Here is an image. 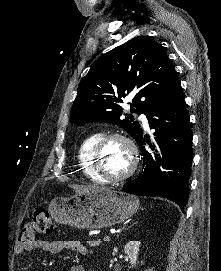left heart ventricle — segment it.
I'll return each instance as SVG.
<instances>
[{
    "mask_svg": "<svg viewBox=\"0 0 221 271\" xmlns=\"http://www.w3.org/2000/svg\"><path fill=\"white\" fill-rule=\"evenodd\" d=\"M101 141H105V144H102L103 151L98 152L100 166H104L108 177H119L121 169H127L129 166V161H124V156H128L127 152L122 149V144L127 140L123 137H114Z\"/></svg>",
    "mask_w": 221,
    "mask_h": 271,
    "instance_id": "left-heart-ventricle-1",
    "label": "left heart ventricle"
}]
</instances>
